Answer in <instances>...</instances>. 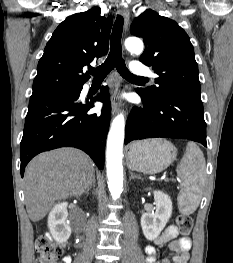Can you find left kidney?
<instances>
[{
	"label": "left kidney",
	"instance_id": "1",
	"mask_svg": "<svg viewBox=\"0 0 233 263\" xmlns=\"http://www.w3.org/2000/svg\"><path fill=\"white\" fill-rule=\"evenodd\" d=\"M153 193L156 211L155 213H144L141 217L143 234L150 241L155 240L159 236L172 215L171 198L161 191H154Z\"/></svg>",
	"mask_w": 233,
	"mask_h": 263
}]
</instances>
